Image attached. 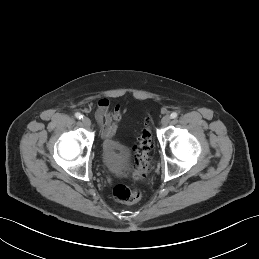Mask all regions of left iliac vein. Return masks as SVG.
Wrapping results in <instances>:
<instances>
[{
	"label": "left iliac vein",
	"instance_id": "left-iliac-vein-1",
	"mask_svg": "<svg viewBox=\"0 0 259 259\" xmlns=\"http://www.w3.org/2000/svg\"><path fill=\"white\" fill-rule=\"evenodd\" d=\"M170 120H171L170 116L165 115L162 118L161 123H162L163 126H167L170 123Z\"/></svg>",
	"mask_w": 259,
	"mask_h": 259
}]
</instances>
